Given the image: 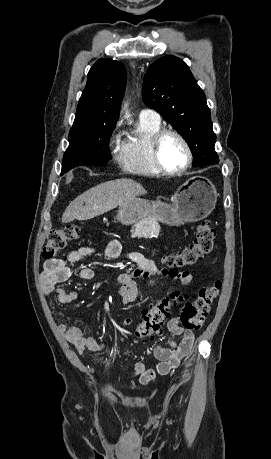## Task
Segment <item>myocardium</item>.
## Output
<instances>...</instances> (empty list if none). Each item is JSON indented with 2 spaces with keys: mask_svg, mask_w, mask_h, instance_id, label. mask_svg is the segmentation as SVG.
<instances>
[{
  "mask_svg": "<svg viewBox=\"0 0 271 459\" xmlns=\"http://www.w3.org/2000/svg\"><path fill=\"white\" fill-rule=\"evenodd\" d=\"M167 135H175L179 137L186 146V149L188 152V160H187V163L181 168H178V169L169 168L164 164L162 160L160 147H161L162 140ZM151 157H152L154 164L157 166V168L161 172L167 175L175 176V175H181L191 168L194 162V151H193L190 141L181 131L175 128H161L152 137Z\"/></svg>",
  "mask_w": 271,
  "mask_h": 459,
  "instance_id": "1",
  "label": "myocardium"
}]
</instances>
